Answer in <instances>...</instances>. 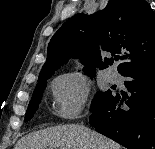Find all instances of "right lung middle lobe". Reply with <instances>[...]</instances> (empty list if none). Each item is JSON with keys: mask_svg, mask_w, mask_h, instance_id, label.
<instances>
[{"mask_svg": "<svg viewBox=\"0 0 155 149\" xmlns=\"http://www.w3.org/2000/svg\"><path fill=\"white\" fill-rule=\"evenodd\" d=\"M87 75L94 76L95 72L94 71L93 72L88 71ZM48 78H50V77H46V78L38 80V84L34 90L32 99L30 100V103L28 105V109H27L26 114H25V121H29L33 117L34 113L36 112L38 105L40 103L43 91H44L46 84H47L46 80ZM112 97H113L112 92L110 90H108L106 92H99L92 101L91 111H93L98 106L102 105L103 103H106Z\"/></svg>", "mask_w": 155, "mask_h": 149, "instance_id": "right-lung-middle-lobe-1", "label": "right lung middle lobe"}]
</instances>
